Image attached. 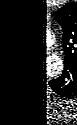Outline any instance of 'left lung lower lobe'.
<instances>
[{"instance_id": "left-lung-lower-lobe-1", "label": "left lung lower lobe", "mask_w": 77, "mask_h": 125, "mask_svg": "<svg viewBox=\"0 0 77 125\" xmlns=\"http://www.w3.org/2000/svg\"><path fill=\"white\" fill-rule=\"evenodd\" d=\"M51 85H52V87H53V88H54V87H57V85H55V84H54V85H53V84H51Z\"/></svg>"}]
</instances>
